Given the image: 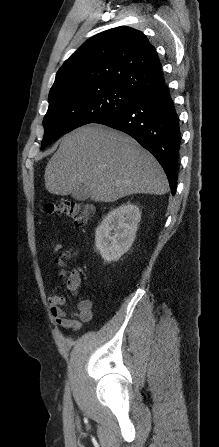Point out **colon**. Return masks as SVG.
I'll return each instance as SVG.
<instances>
[{
	"instance_id": "1",
	"label": "colon",
	"mask_w": 219,
	"mask_h": 447,
	"mask_svg": "<svg viewBox=\"0 0 219 447\" xmlns=\"http://www.w3.org/2000/svg\"><path fill=\"white\" fill-rule=\"evenodd\" d=\"M42 210L47 215L66 216L78 227L85 226L92 216L91 207L88 204L76 200L64 199L50 201L43 206ZM72 255H74L73 249L60 253V260ZM77 275L74 271L63 272V276L67 280H75Z\"/></svg>"
}]
</instances>
